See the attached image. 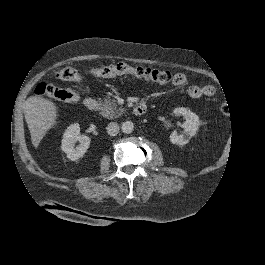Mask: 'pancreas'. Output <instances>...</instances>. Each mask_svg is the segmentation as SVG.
I'll use <instances>...</instances> for the list:
<instances>
[{"instance_id":"cf45deb5","label":"pancreas","mask_w":265,"mask_h":265,"mask_svg":"<svg viewBox=\"0 0 265 265\" xmlns=\"http://www.w3.org/2000/svg\"><path fill=\"white\" fill-rule=\"evenodd\" d=\"M101 105V115L108 119L117 118L123 114L124 108L117 107V103L115 99H111L110 97L105 98L104 101H100Z\"/></svg>"}]
</instances>
